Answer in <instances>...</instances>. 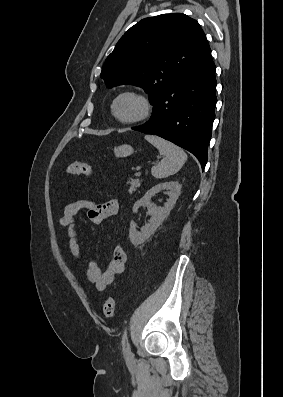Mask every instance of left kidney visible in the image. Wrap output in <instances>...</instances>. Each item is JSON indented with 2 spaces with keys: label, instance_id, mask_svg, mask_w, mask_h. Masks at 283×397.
I'll list each match as a JSON object with an SVG mask.
<instances>
[{
  "label": "left kidney",
  "instance_id": "1",
  "mask_svg": "<svg viewBox=\"0 0 283 397\" xmlns=\"http://www.w3.org/2000/svg\"><path fill=\"white\" fill-rule=\"evenodd\" d=\"M168 190L169 199L163 207H157L151 202L152 196L155 194ZM181 193V185L178 182L170 181L153 186L146 194L138 200L133 206V213H136L141 206H145L148 210L151 219L149 222L141 228V231H137L136 224L134 221L130 223L129 238L134 246H138L144 243L152 234L155 233L157 228L162 224L164 219L169 215L173 209L179 195Z\"/></svg>",
  "mask_w": 283,
  "mask_h": 397
}]
</instances>
